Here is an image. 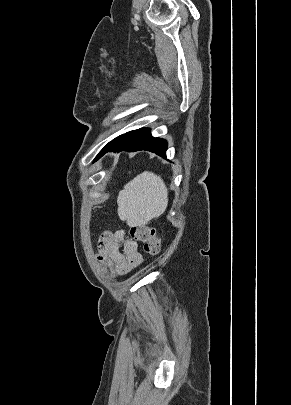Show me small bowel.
Here are the masks:
<instances>
[{
	"mask_svg": "<svg viewBox=\"0 0 291 405\" xmlns=\"http://www.w3.org/2000/svg\"><path fill=\"white\" fill-rule=\"evenodd\" d=\"M97 259L116 275L127 274L143 262L137 243L126 240L122 230L102 234Z\"/></svg>",
	"mask_w": 291,
	"mask_h": 405,
	"instance_id": "small-bowel-1",
	"label": "small bowel"
}]
</instances>
